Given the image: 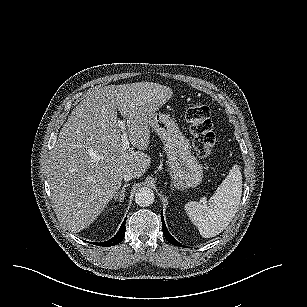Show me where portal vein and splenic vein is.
Wrapping results in <instances>:
<instances>
[{
	"label": "portal vein and splenic vein",
	"instance_id": "obj_1",
	"mask_svg": "<svg viewBox=\"0 0 307 307\" xmlns=\"http://www.w3.org/2000/svg\"><path fill=\"white\" fill-rule=\"evenodd\" d=\"M119 123L122 125V121H119ZM122 141V151L123 152H126L127 150L130 149V144H129V140H128V137L126 135H124L121 139Z\"/></svg>",
	"mask_w": 307,
	"mask_h": 307
}]
</instances>
